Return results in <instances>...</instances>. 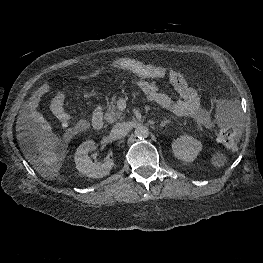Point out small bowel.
Instances as JSON below:
<instances>
[{
    "label": "small bowel",
    "mask_w": 263,
    "mask_h": 263,
    "mask_svg": "<svg viewBox=\"0 0 263 263\" xmlns=\"http://www.w3.org/2000/svg\"><path fill=\"white\" fill-rule=\"evenodd\" d=\"M166 77L178 95L176 100L159 89L155 83L146 79H140L138 81V87L149 101L157 103L161 107L172 111L178 116H189L203 128H212L213 120L211 111L203 106L201 97L197 90L189 86L185 78L174 69H169V73ZM48 90L49 86L45 84L34 92L25 108L28 113H33L35 111L40 99L48 92ZM56 96L60 107L64 108V96L62 93H57L52 99L53 111Z\"/></svg>",
    "instance_id": "c3829d8e"
}]
</instances>
